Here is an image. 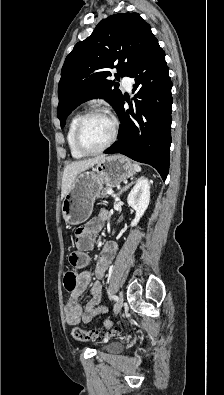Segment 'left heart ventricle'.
<instances>
[{"mask_svg": "<svg viewBox=\"0 0 224 395\" xmlns=\"http://www.w3.org/2000/svg\"><path fill=\"white\" fill-rule=\"evenodd\" d=\"M111 133L112 123L108 118L102 115L91 116L83 124L82 143L89 150L98 149L109 140Z\"/></svg>", "mask_w": 224, "mask_h": 395, "instance_id": "b2bd125f", "label": "left heart ventricle"}]
</instances>
